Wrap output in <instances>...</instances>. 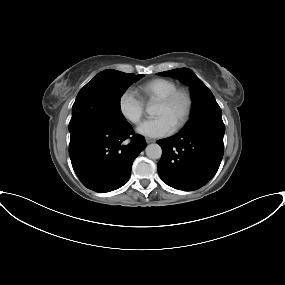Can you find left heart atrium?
I'll return each instance as SVG.
<instances>
[{
  "label": "left heart atrium",
  "instance_id": "obj_1",
  "mask_svg": "<svg viewBox=\"0 0 285 285\" xmlns=\"http://www.w3.org/2000/svg\"><path fill=\"white\" fill-rule=\"evenodd\" d=\"M173 131L174 126L163 116L145 120L137 128L139 134L150 138L165 137L170 135Z\"/></svg>",
  "mask_w": 285,
  "mask_h": 285
}]
</instances>
